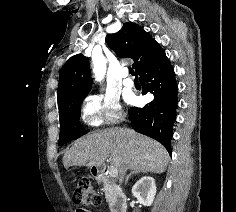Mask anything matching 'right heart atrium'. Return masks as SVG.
I'll return each instance as SVG.
<instances>
[{"instance_id": "obj_1", "label": "right heart atrium", "mask_w": 236, "mask_h": 212, "mask_svg": "<svg viewBox=\"0 0 236 212\" xmlns=\"http://www.w3.org/2000/svg\"><path fill=\"white\" fill-rule=\"evenodd\" d=\"M123 117L118 99L107 94L86 97L81 109L82 120L90 126L115 124L121 121Z\"/></svg>"}]
</instances>
